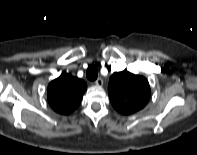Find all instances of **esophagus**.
I'll return each instance as SVG.
<instances>
[{
	"instance_id": "34e87169",
	"label": "esophagus",
	"mask_w": 197,
	"mask_h": 155,
	"mask_svg": "<svg viewBox=\"0 0 197 155\" xmlns=\"http://www.w3.org/2000/svg\"><path fill=\"white\" fill-rule=\"evenodd\" d=\"M96 86L101 87L103 85V80L101 78L96 79L94 82Z\"/></svg>"
}]
</instances>
